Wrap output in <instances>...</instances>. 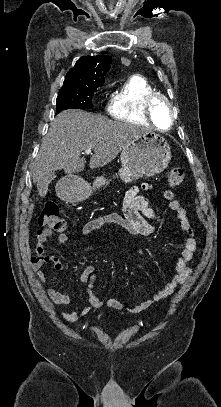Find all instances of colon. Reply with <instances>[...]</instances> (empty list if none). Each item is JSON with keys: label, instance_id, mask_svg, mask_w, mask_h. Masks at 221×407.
<instances>
[{"label": "colon", "instance_id": "1", "mask_svg": "<svg viewBox=\"0 0 221 407\" xmlns=\"http://www.w3.org/2000/svg\"><path fill=\"white\" fill-rule=\"evenodd\" d=\"M184 177V171L179 167H173L168 170V182L171 189L166 192L167 198H174L173 189L182 184ZM39 223L44 226L38 233L43 239H48L64 229V221L60 217L59 207L56 203L47 202L44 205L39 215Z\"/></svg>", "mask_w": 221, "mask_h": 407}]
</instances>
